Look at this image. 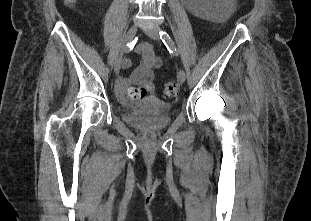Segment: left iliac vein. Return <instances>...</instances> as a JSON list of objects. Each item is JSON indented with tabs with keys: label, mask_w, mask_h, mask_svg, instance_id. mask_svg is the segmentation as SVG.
Wrapping results in <instances>:
<instances>
[{
	"label": "left iliac vein",
	"mask_w": 311,
	"mask_h": 221,
	"mask_svg": "<svg viewBox=\"0 0 311 221\" xmlns=\"http://www.w3.org/2000/svg\"><path fill=\"white\" fill-rule=\"evenodd\" d=\"M144 32L146 33V35H148L150 38L154 39V40H160L159 37V29L157 27H149V28H145ZM178 80L181 83H184L186 80V74L184 72V70H179L178 75H177Z\"/></svg>",
	"instance_id": "1"
}]
</instances>
